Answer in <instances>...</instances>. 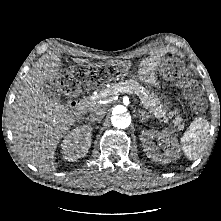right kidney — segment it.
I'll return each mask as SVG.
<instances>
[{
    "instance_id": "ca27d5eb",
    "label": "right kidney",
    "mask_w": 221,
    "mask_h": 221,
    "mask_svg": "<svg viewBox=\"0 0 221 221\" xmlns=\"http://www.w3.org/2000/svg\"><path fill=\"white\" fill-rule=\"evenodd\" d=\"M91 134L92 128L86 125L67 134L61 145L64 159L73 162L84 157L91 146Z\"/></svg>"
}]
</instances>
